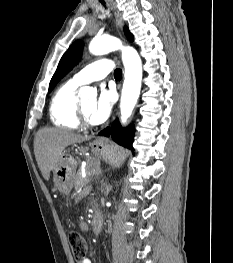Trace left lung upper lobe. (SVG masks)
<instances>
[{
  "mask_svg": "<svg viewBox=\"0 0 233 263\" xmlns=\"http://www.w3.org/2000/svg\"><path fill=\"white\" fill-rule=\"evenodd\" d=\"M126 36L133 41V36L129 32L128 28L125 27L124 29ZM83 50V42L82 41H75L69 49L64 53L62 56L57 70L54 73L50 85H49V92L55 87L58 81L66 75L80 60Z\"/></svg>",
  "mask_w": 233,
  "mask_h": 263,
  "instance_id": "obj_1",
  "label": "left lung upper lobe"
}]
</instances>
